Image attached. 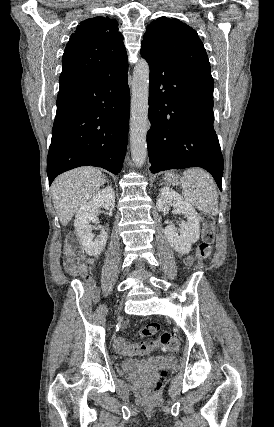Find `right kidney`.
I'll use <instances>...</instances> for the list:
<instances>
[{
	"mask_svg": "<svg viewBox=\"0 0 274 427\" xmlns=\"http://www.w3.org/2000/svg\"><path fill=\"white\" fill-rule=\"evenodd\" d=\"M98 206L105 208V210H113L115 206V194L111 186H107V188H104L98 194H93L90 202H87L84 206H80L74 219L75 231L79 235L80 243H82L85 253L94 255V257H98L102 253L108 239V233L104 229H102L100 235H97L95 239H93V233H91L92 225H90V221L99 223L97 212H95Z\"/></svg>",
	"mask_w": 274,
	"mask_h": 427,
	"instance_id": "obj_1",
	"label": "right kidney"
}]
</instances>
